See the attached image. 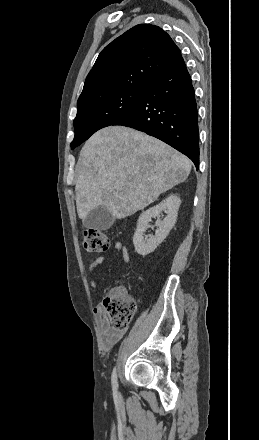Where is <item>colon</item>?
Returning a JSON list of instances; mask_svg holds the SVG:
<instances>
[{
    "mask_svg": "<svg viewBox=\"0 0 259 440\" xmlns=\"http://www.w3.org/2000/svg\"><path fill=\"white\" fill-rule=\"evenodd\" d=\"M83 247L88 252H103L109 249L110 240L100 230L85 229L83 232ZM110 325L118 330L125 329L130 323L136 304L122 286H115L104 296L102 302Z\"/></svg>",
    "mask_w": 259,
    "mask_h": 440,
    "instance_id": "1",
    "label": "colon"
}]
</instances>
